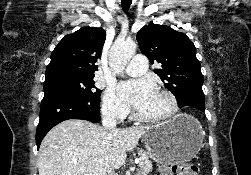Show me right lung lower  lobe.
<instances>
[{
  "mask_svg": "<svg viewBox=\"0 0 251 175\" xmlns=\"http://www.w3.org/2000/svg\"><path fill=\"white\" fill-rule=\"evenodd\" d=\"M40 120L36 131V144L58 123L68 119H83L93 123L100 121V95L82 97L63 90L44 92Z\"/></svg>",
  "mask_w": 251,
  "mask_h": 175,
  "instance_id": "obj_1",
  "label": "right lung lower lobe"
}]
</instances>
